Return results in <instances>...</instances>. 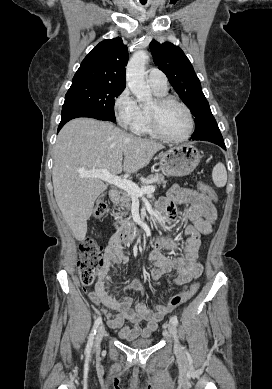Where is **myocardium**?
I'll use <instances>...</instances> for the list:
<instances>
[{
	"mask_svg": "<svg viewBox=\"0 0 272 389\" xmlns=\"http://www.w3.org/2000/svg\"><path fill=\"white\" fill-rule=\"evenodd\" d=\"M170 104H175V105L180 106L187 114L188 121H189L188 130L181 137H170L167 134H165L163 132V130L161 129L160 121H159V111L163 107L170 105ZM149 118H150V124H151V128H152L153 133L158 138H160L164 141H167V142L179 143V142L186 141L187 139H189L191 137V135L194 132L195 122H194V117H193V114H192L190 108L184 102H182L176 98H173V97H169V96L159 97L156 100V108L153 110L149 109Z\"/></svg>",
	"mask_w": 272,
	"mask_h": 389,
	"instance_id": "obj_1",
	"label": "myocardium"
}]
</instances>
